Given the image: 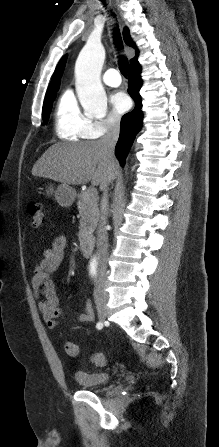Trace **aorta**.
<instances>
[{"mask_svg": "<svg viewBox=\"0 0 219 447\" xmlns=\"http://www.w3.org/2000/svg\"><path fill=\"white\" fill-rule=\"evenodd\" d=\"M105 50L100 43L88 41L75 64L79 102L92 116H103L107 111V97L100 82Z\"/></svg>", "mask_w": 219, "mask_h": 447, "instance_id": "762f6f07", "label": "aorta"}]
</instances>
